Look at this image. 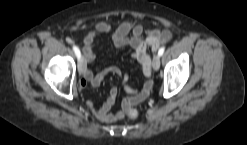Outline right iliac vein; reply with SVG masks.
<instances>
[{"label":"right iliac vein","mask_w":247,"mask_h":145,"mask_svg":"<svg viewBox=\"0 0 247 145\" xmlns=\"http://www.w3.org/2000/svg\"><path fill=\"white\" fill-rule=\"evenodd\" d=\"M86 71V62L84 56L81 57L79 64H78V72L80 76H83Z\"/></svg>","instance_id":"right-iliac-vein-1"}]
</instances>
